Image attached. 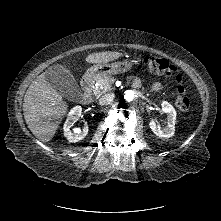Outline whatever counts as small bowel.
I'll return each mask as SVG.
<instances>
[{
	"label": "small bowel",
	"mask_w": 221,
	"mask_h": 221,
	"mask_svg": "<svg viewBox=\"0 0 221 221\" xmlns=\"http://www.w3.org/2000/svg\"><path fill=\"white\" fill-rule=\"evenodd\" d=\"M130 82H131V84L133 85V86H135V87H138L139 85H140V81L138 80V78H136V77H132L131 79H130ZM152 87H153V89H155V90H159V89H161V84L160 83H154L153 85H152Z\"/></svg>",
	"instance_id": "1"
}]
</instances>
